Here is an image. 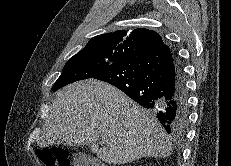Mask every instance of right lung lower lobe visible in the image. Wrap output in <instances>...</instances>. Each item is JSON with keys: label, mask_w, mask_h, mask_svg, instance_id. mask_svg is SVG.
I'll use <instances>...</instances> for the list:
<instances>
[{"label": "right lung lower lobe", "mask_w": 231, "mask_h": 166, "mask_svg": "<svg viewBox=\"0 0 231 166\" xmlns=\"http://www.w3.org/2000/svg\"><path fill=\"white\" fill-rule=\"evenodd\" d=\"M92 78L108 82L152 111L176 137L188 125V97L177 55L166 45L110 65Z\"/></svg>", "instance_id": "obj_1"}]
</instances>
